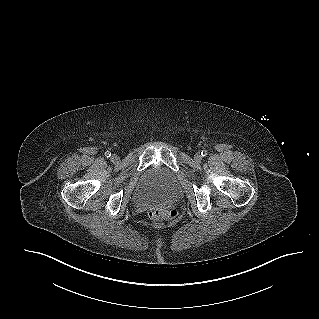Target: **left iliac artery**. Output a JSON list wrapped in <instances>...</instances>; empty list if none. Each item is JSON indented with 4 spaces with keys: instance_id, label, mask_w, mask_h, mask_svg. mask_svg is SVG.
Here are the masks:
<instances>
[{
    "instance_id": "left-iliac-artery-1",
    "label": "left iliac artery",
    "mask_w": 319,
    "mask_h": 319,
    "mask_svg": "<svg viewBox=\"0 0 319 319\" xmlns=\"http://www.w3.org/2000/svg\"><path fill=\"white\" fill-rule=\"evenodd\" d=\"M207 154H208V152H207L206 150H203V151L201 152V155H202L203 157H205Z\"/></svg>"
}]
</instances>
